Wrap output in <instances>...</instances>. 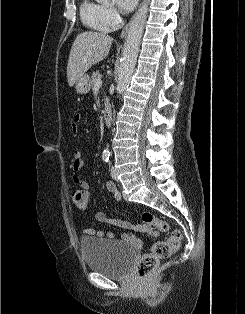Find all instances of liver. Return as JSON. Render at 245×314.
<instances>
[{
  "label": "liver",
  "instance_id": "1",
  "mask_svg": "<svg viewBox=\"0 0 245 314\" xmlns=\"http://www.w3.org/2000/svg\"><path fill=\"white\" fill-rule=\"evenodd\" d=\"M112 42V37L101 32L88 31L77 35L67 64L69 86L72 87L92 65L107 57Z\"/></svg>",
  "mask_w": 245,
  "mask_h": 314
}]
</instances>
